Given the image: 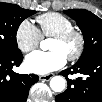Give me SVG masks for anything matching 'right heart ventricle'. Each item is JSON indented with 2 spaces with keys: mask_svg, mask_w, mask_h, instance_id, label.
<instances>
[{
  "mask_svg": "<svg viewBox=\"0 0 102 102\" xmlns=\"http://www.w3.org/2000/svg\"><path fill=\"white\" fill-rule=\"evenodd\" d=\"M36 20L42 37H54L75 28L70 18L56 12L39 15Z\"/></svg>",
  "mask_w": 102,
  "mask_h": 102,
  "instance_id": "1",
  "label": "right heart ventricle"
}]
</instances>
